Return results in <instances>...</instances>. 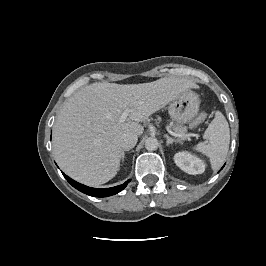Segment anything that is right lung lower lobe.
<instances>
[{
  "mask_svg": "<svg viewBox=\"0 0 266 266\" xmlns=\"http://www.w3.org/2000/svg\"><path fill=\"white\" fill-rule=\"evenodd\" d=\"M62 174L66 178V180L74 188H76L77 190H79V191H81L87 195L94 196V197H107V196L117 194L121 190H123L127 186V184L130 182V180H128L122 185L111 187V188H101V189L100 188H91V187L85 186L81 183L74 181L73 179H71L70 177L65 175L64 173H62Z\"/></svg>",
  "mask_w": 266,
  "mask_h": 266,
  "instance_id": "1",
  "label": "right lung lower lobe"
}]
</instances>
